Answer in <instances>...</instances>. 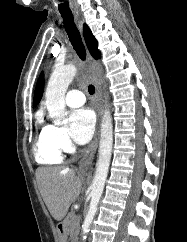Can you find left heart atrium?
<instances>
[{"mask_svg":"<svg viewBox=\"0 0 187 242\" xmlns=\"http://www.w3.org/2000/svg\"><path fill=\"white\" fill-rule=\"evenodd\" d=\"M69 133L79 144L87 143L94 132L95 115L89 108H79L71 112Z\"/></svg>","mask_w":187,"mask_h":242,"instance_id":"39dd6f15","label":"left heart atrium"}]
</instances>
